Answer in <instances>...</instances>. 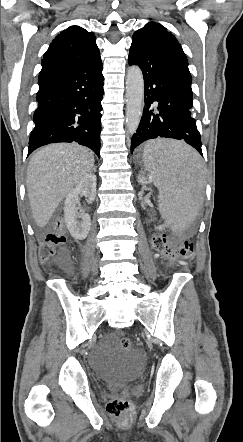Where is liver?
Instances as JSON below:
<instances>
[{
    "mask_svg": "<svg viewBox=\"0 0 243 442\" xmlns=\"http://www.w3.org/2000/svg\"><path fill=\"white\" fill-rule=\"evenodd\" d=\"M93 168V152L77 143L51 144L32 155L26 187L38 227L47 225L63 198Z\"/></svg>",
    "mask_w": 243,
    "mask_h": 442,
    "instance_id": "1",
    "label": "liver"
}]
</instances>
